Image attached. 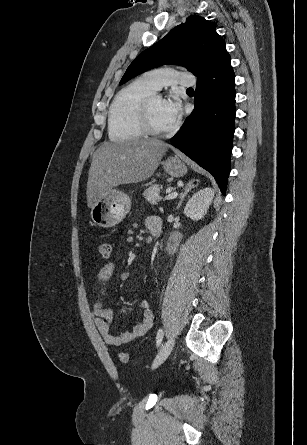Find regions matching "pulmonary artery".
Instances as JSON below:
<instances>
[{
	"mask_svg": "<svg viewBox=\"0 0 307 445\" xmlns=\"http://www.w3.org/2000/svg\"><path fill=\"white\" fill-rule=\"evenodd\" d=\"M143 79L157 90L166 83L178 84L180 90H189L194 82L193 75H187L185 69H148L143 72Z\"/></svg>",
	"mask_w": 307,
	"mask_h": 445,
	"instance_id": "obj_1",
	"label": "pulmonary artery"
}]
</instances>
